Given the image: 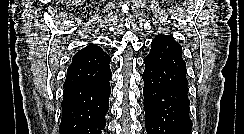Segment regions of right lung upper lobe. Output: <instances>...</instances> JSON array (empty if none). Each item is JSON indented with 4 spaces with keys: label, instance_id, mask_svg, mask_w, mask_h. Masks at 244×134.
<instances>
[{
    "label": "right lung upper lobe",
    "instance_id": "1",
    "mask_svg": "<svg viewBox=\"0 0 244 134\" xmlns=\"http://www.w3.org/2000/svg\"><path fill=\"white\" fill-rule=\"evenodd\" d=\"M110 56L99 46L89 44L78 51L67 69L64 87L73 84L91 83L111 74Z\"/></svg>",
    "mask_w": 244,
    "mask_h": 134
}]
</instances>
